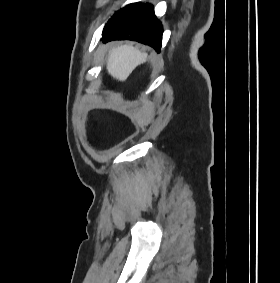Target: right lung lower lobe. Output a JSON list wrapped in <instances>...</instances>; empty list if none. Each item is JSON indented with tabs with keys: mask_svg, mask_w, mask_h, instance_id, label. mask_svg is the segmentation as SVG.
Wrapping results in <instances>:
<instances>
[{
	"mask_svg": "<svg viewBox=\"0 0 280 283\" xmlns=\"http://www.w3.org/2000/svg\"><path fill=\"white\" fill-rule=\"evenodd\" d=\"M162 25L150 4L135 5L120 13L106 24L104 42L112 40H134L159 51L162 43Z\"/></svg>",
	"mask_w": 280,
	"mask_h": 283,
	"instance_id": "right-lung-lower-lobe-1",
	"label": "right lung lower lobe"
}]
</instances>
